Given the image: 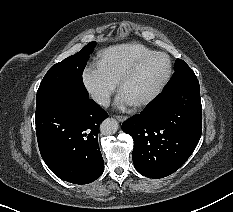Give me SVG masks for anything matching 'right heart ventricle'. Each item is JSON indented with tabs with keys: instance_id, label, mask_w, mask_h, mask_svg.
Instances as JSON below:
<instances>
[{
	"instance_id": "e07e8e85",
	"label": "right heart ventricle",
	"mask_w": 233,
	"mask_h": 212,
	"mask_svg": "<svg viewBox=\"0 0 233 212\" xmlns=\"http://www.w3.org/2000/svg\"><path fill=\"white\" fill-rule=\"evenodd\" d=\"M139 43H127L109 47L98 55V64L116 82L142 56L152 52Z\"/></svg>"
}]
</instances>
